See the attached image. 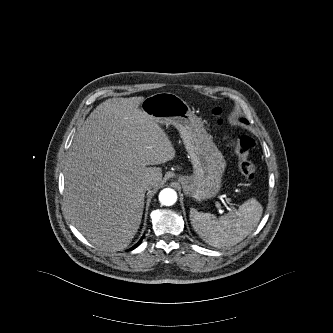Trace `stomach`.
I'll return each instance as SVG.
<instances>
[{
	"label": "stomach",
	"instance_id": "1",
	"mask_svg": "<svg viewBox=\"0 0 333 333\" xmlns=\"http://www.w3.org/2000/svg\"><path fill=\"white\" fill-rule=\"evenodd\" d=\"M141 110L157 123L171 124L179 131L194 167L193 175L178 176L185 194L199 202L215 197L226 161L188 104L174 93L160 92L146 97Z\"/></svg>",
	"mask_w": 333,
	"mask_h": 333
}]
</instances>
